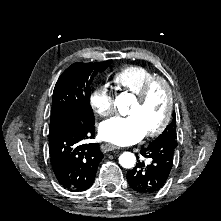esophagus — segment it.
<instances>
[{
	"mask_svg": "<svg viewBox=\"0 0 221 221\" xmlns=\"http://www.w3.org/2000/svg\"><path fill=\"white\" fill-rule=\"evenodd\" d=\"M120 147H117L113 144H110V143H105V144H102L101 145V150L103 152H108V151H112V150H119Z\"/></svg>",
	"mask_w": 221,
	"mask_h": 221,
	"instance_id": "1",
	"label": "esophagus"
}]
</instances>
